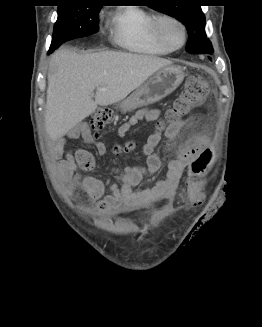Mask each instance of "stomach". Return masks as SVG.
I'll use <instances>...</instances> for the list:
<instances>
[{"mask_svg":"<svg viewBox=\"0 0 262 327\" xmlns=\"http://www.w3.org/2000/svg\"><path fill=\"white\" fill-rule=\"evenodd\" d=\"M183 79L184 73L179 66H165L123 100L120 108L123 112H130L136 108L156 103L171 94Z\"/></svg>","mask_w":262,"mask_h":327,"instance_id":"obj_1","label":"stomach"}]
</instances>
